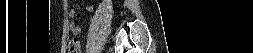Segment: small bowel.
I'll return each instance as SVG.
<instances>
[{
	"label": "small bowel",
	"mask_w": 253,
	"mask_h": 53,
	"mask_svg": "<svg viewBox=\"0 0 253 53\" xmlns=\"http://www.w3.org/2000/svg\"><path fill=\"white\" fill-rule=\"evenodd\" d=\"M87 10L91 11L92 7H87ZM74 15V10H70V16L73 17ZM69 30L73 35H78L81 32V28L76 25L74 22L69 23Z\"/></svg>",
	"instance_id": "small-bowel-1"
}]
</instances>
